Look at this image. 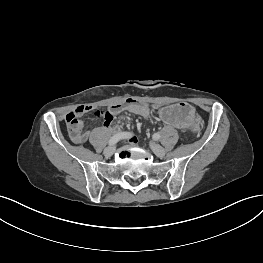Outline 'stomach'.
Returning <instances> with one entry per match:
<instances>
[{
  "label": "stomach",
  "instance_id": "0dacf381",
  "mask_svg": "<svg viewBox=\"0 0 263 263\" xmlns=\"http://www.w3.org/2000/svg\"><path fill=\"white\" fill-rule=\"evenodd\" d=\"M157 116L161 123L170 124L173 129L184 130L190 134L198 132L202 125L200 117L194 114L193 109L187 103L182 101L161 106Z\"/></svg>",
  "mask_w": 263,
  "mask_h": 263
}]
</instances>
